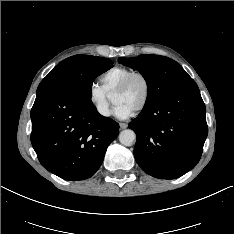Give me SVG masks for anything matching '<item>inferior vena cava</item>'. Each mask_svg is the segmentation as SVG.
<instances>
[{
	"label": "inferior vena cava",
	"instance_id": "obj_1",
	"mask_svg": "<svg viewBox=\"0 0 234 234\" xmlns=\"http://www.w3.org/2000/svg\"><path fill=\"white\" fill-rule=\"evenodd\" d=\"M98 111L103 116H108L109 115V111H108V109L106 107H100V108H98Z\"/></svg>",
	"mask_w": 234,
	"mask_h": 234
}]
</instances>
